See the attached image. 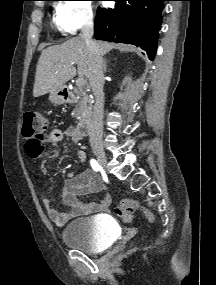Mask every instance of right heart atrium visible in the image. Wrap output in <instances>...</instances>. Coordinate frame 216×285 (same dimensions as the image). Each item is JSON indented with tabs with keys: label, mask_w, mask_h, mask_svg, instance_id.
Returning <instances> with one entry per match:
<instances>
[{
	"label": "right heart atrium",
	"mask_w": 216,
	"mask_h": 285,
	"mask_svg": "<svg viewBox=\"0 0 216 285\" xmlns=\"http://www.w3.org/2000/svg\"><path fill=\"white\" fill-rule=\"evenodd\" d=\"M94 13L87 0H64L57 4L54 22L57 28L68 34L92 24Z\"/></svg>",
	"instance_id": "1"
}]
</instances>
